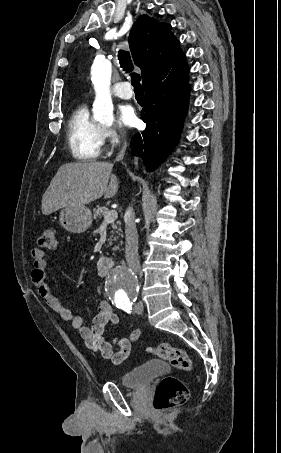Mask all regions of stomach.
<instances>
[{
	"mask_svg": "<svg viewBox=\"0 0 281 453\" xmlns=\"http://www.w3.org/2000/svg\"><path fill=\"white\" fill-rule=\"evenodd\" d=\"M59 222L69 233H85L92 224V214L88 206H65L60 210Z\"/></svg>",
	"mask_w": 281,
	"mask_h": 453,
	"instance_id": "1",
	"label": "stomach"
}]
</instances>
